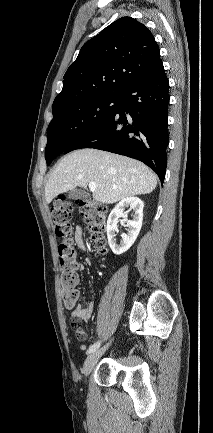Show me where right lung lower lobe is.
I'll use <instances>...</instances> for the list:
<instances>
[{"label":"right lung lower lobe","mask_w":213,"mask_h":433,"mask_svg":"<svg viewBox=\"0 0 213 433\" xmlns=\"http://www.w3.org/2000/svg\"><path fill=\"white\" fill-rule=\"evenodd\" d=\"M169 100V81L158 58L121 95L114 113L63 153L95 148L132 157L152 168L163 183L169 143Z\"/></svg>","instance_id":"obj_1"}]
</instances>
